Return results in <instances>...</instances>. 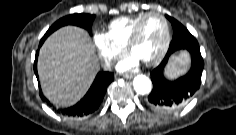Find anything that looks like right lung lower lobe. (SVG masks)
<instances>
[{
    "label": "right lung lower lobe",
    "instance_id": "right-lung-lower-lobe-1",
    "mask_svg": "<svg viewBox=\"0 0 236 135\" xmlns=\"http://www.w3.org/2000/svg\"><path fill=\"white\" fill-rule=\"evenodd\" d=\"M46 38H42L39 44V47L43 44ZM37 58H38V51L36 53L35 62H34V72L36 77L38 78L37 74ZM114 80V74L111 72H99L90 87L87 94L82 98L76 105L65 108V109H58L57 111L63 115L80 118L87 116L93 113L102 102V99L106 93L108 85ZM40 94L42 95L41 89ZM42 99L47 102L49 101L42 96Z\"/></svg>",
    "mask_w": 236,
    "mask_h": 135
}]
</instances>
